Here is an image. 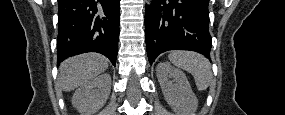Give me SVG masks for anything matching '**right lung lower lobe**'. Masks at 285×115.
Listing matches in <instances>:
<instances>
[{
	"label": "right lung lower lobe",
	"instance_id": "obj_1",
	"mask_svg": "<svg viewBox=\"0 0 285 115\" xmlns=\"http://www.w3.org/2000/svg\"><path fill=\"white\" fill-rule=\"evenodd\" d=\"M120 0H58L59 64L86 52H98L116 63Z\"/></svg>",
	"mask_w": 285,
	"mask_h": 115
}]
</instances>
